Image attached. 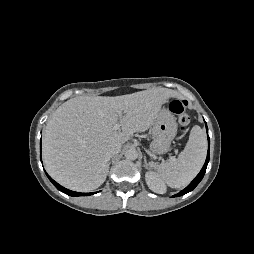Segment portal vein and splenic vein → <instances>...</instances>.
<instances>
[{"label":"portal vein and splenic vein","mask_w":254,"mask_h":254,"mask_svg":"<svg viewBox=\"0 0 254 254\" xmlns=\"http://www.w3.org/2000/svg\"><path fill=\"white\" fill-rule=\"evenodd\" d=\"M120 116H122V112L120 111L119 112ZM121 127V125L119 123H116L114 126H113V130H119Z\"/></svg>","instance_id":"1"}]
</instances>
